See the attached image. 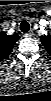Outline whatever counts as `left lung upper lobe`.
Wrapping results in <instances>:
<instances>
[{"label": "left lung upper lobe", "mask_w": 51, "mask_h": 101, "mask_svg": "<svg viewBox=\"0 0 51 101\" xmlns=\"http://www.w3.org/2000/svg\"><path fill=\"white\" fill-rule=\"evenodd\" d=\"M41 42L43 44V46L45 47V49L47 50V52L49 54H51V36H43L41 38Z\"/></svg>", "instance_id": "5c2ea615"}]
</instances>
